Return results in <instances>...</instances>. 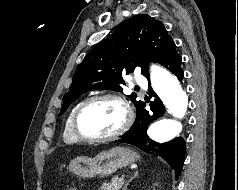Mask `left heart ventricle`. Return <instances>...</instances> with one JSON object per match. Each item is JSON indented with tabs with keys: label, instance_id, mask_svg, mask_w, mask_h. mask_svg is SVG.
Returning a JSON list of instances; mask_svg holds the SVG:
<instances>
[{
	"label": "left heart ventricle",
	"instance_id": "1",
	"mask_svg": "<svg viewBox=\"0 0 238 190\" xmlns=\"http://www.w3.org/2000/svg\"><path fill=\"white\" fill-rule=\"evenodd\" d=\"M124 121L122 107L113 100L90 104L81 114L79 126L89 136H105L115 132Z\"/></svg>",
	"mask_w": 238,
	"mask_h": 190
}]
</instances>
